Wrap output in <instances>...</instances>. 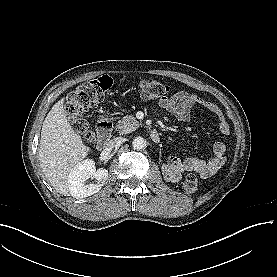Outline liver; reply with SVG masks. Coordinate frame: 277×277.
Masks as SVG:
<instances>
[{
  "mask_svg": "<svg viewBox=\"0 0 277 277\" xmlns=\"http://www.w3.org/2000/svg\"><path fill=\"white\" fill-rule=\"evenodd\" d=\"M63 104L64 98L56 102L43 122L38 157L43 173L57 192L81 198L72 188L69 175L90 148L68 122Z\"/></svg>",
  "mask_w": 277,
  "mask_h": 277,
  "instance_id": "liver-1",
  "label": "liver"
}]
</instances>
